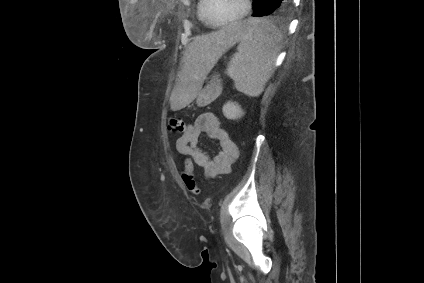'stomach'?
Instances as JSON below:
<instances>
[{"mask_svg":"<svg viewBox=\"0 0 424 283\" xmlns=\"http://www.w3.org/2000/svg\"><path fill=\"white\" fill-rule=\"evenodd\" d=\"M247 31V29H246ZM215 79H212L210 81L209 84H207L204 88H200V90L198 91L195 99H196V103L199 106H203L205 105V103H207V99H204L206 96H208V93L210 92V90L212 89V86H215Z\"/></svg>","mask_w":424,"mask_h":283,"instance_id":"1","label":"stomach"}]
</instances>
